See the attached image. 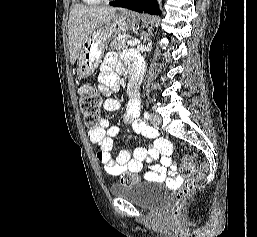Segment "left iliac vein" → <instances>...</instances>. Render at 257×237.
<instances>
[{"instance_id":"4c4485c4","label":"left iliac vein","mask_w":257,"mask_h":237,"mask_svg":"<svg viewBox=\"0 0 257 237\" xmlns=\"http://www.w3.org/2000/svg\"><path fill=\"white\" fill-rule=\"evenodd\" d=\"M150 121H151V124H152L153 126H158V125H160V123H161V118H160V116L157 115L156 113H153V114H151V119H150Z\"/></svg>"}]
</instances>
